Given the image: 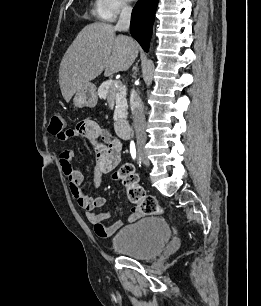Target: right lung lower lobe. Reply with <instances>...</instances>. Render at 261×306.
Returning a JSON list of instances; mask_svg holds the SVG:
<instances>
[{
	"label": "right lung lower lobe",
	"mask_w": 261,
	"mask_h": 306,
	"mask_svg": "<svg viewBox=\"0 0 261 306\" xmlns=\"http://www.w3.org/2000/svg\"><path fill=\"white\" fill-rule=\"evenodd\" d=\"M157 4L158 0H138L132 11L130 31L145 51L149 48Z\"/></svg>",
	"instance_id": "obj_1"
}]
</instances>
